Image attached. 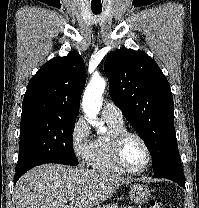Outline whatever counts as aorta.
Masks as SVG:
<instances>
[{"mask_svg": "<svg viewBox=\"0 0 199 208\" xmlns=\"http://www.w3.org/2000/svg\"><path fill=\"white\" fill-rule=\"evenodd\" d=\"M106 87V81L100 76H93L85 89L82 107L87 121L97 128L98 133H105L103 123L97 120L102 105V94Z\"/></svg>", "mask_w": 199, "mask_h": 208, "instance_id": "aorta-1", "label": "aorta"}]
</instances>
